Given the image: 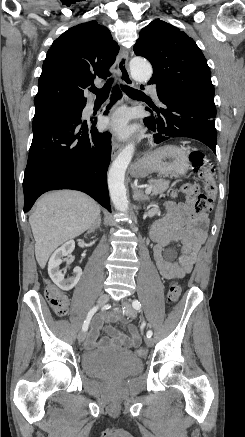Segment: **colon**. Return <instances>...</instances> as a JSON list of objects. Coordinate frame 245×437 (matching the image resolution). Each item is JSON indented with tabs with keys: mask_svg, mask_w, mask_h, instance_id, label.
I'll use <instances>...</instances> for the list:
<instances>
[{
	"mask_svg": "<svg viewBox=\"0 0 245 437\" xmlns=\"http://www.w3.org/2000/svg\"><path fill=\"white\" fill-rule=\"evenodd\" d=\"M193 170L205 182L204 193H200L198 187L194 184H185L181 187L180 192L186 198L194 203L195 209L199 212H210L213 207V202L217 194V187L214 181V170L201 151H192L189 155ZM46 299L51 308L60 316L65 315L69 308L68 296L60 289L52 284H48L45 290ZM181 296V287L177 283H172L169 286L167 300L170 304H176ZM136 354L144 357L147 350L144 347L138 346L135 350Z\"/></svg>",
	"mask_w": 245,
	"mask_h": 437,
	"instance_id": "obj_1",
	"label": "colon"
}]
</instances>
